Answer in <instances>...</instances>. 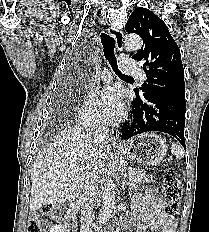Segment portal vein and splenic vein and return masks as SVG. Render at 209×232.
<instances>
[{
  "mask_svg": "<svg viewBox=\"0 0 209 232\" xmlns=\"http://www.w3.org/2000/svg\"><path fill=\"white\" fill-rule=\"evenodd\" d=\"M133 174V172L129 171V176H131Z\"/></svg>",
  "mask_w": 209,
  "mask_h": 232,
  "instance_id": "18ae733b",
  "label": "portal vein and splenic vein"
}]
</instances>
